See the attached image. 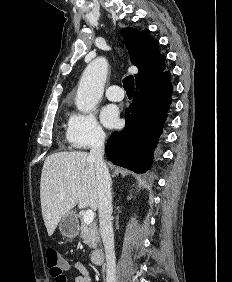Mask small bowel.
<instances>
[{
    "instance_id": "1",
    "label": "small bowel",
    "mask_w": 232,
    "mask_h": 282,
    "mask_svg": "<svg viewBox=\"0 0 232 282\" xmlns=\"http://www.w3.org/2000/svg\"><path fill=\"white\" fill-rule=\"evenodd\" d=\"M74 269L78 271V275L74 277V282H92L91 272L89 268L82 262H75L73 265ZM70 265L64 261V270H69ZM55 282H67V278L63 277L55 278Z\"/></svg>"
}]
</instances>
